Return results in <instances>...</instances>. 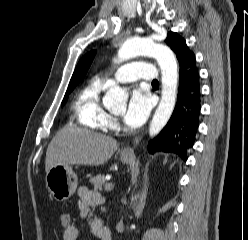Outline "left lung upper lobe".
I'll list each match as a JSON object with an SVG mask.
<instances>
[{
	"label": "left lung upper lobe",
	"mask_w": 248,
	"mask_h": 240,
	"mask_svg": "<svg viewBox=\"0 0 248 240\" xmlns=\"http://www.w3.org/2000/svg\"><path fill=\"white\" fill-rule=\"evenodd\" d=\"M165 43L176 54L179 66H181L185 62V60L193 53L186 45L185 39L175 32H168Z\"/></svg>",
	"instance_id": "obj_1"
}]
</instances>
